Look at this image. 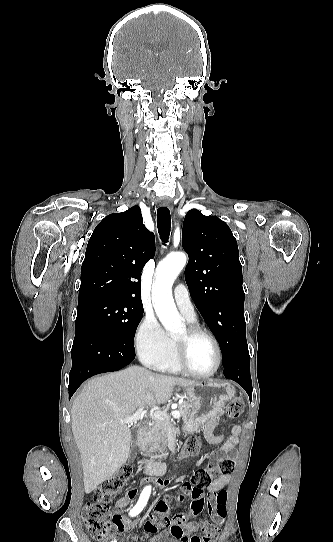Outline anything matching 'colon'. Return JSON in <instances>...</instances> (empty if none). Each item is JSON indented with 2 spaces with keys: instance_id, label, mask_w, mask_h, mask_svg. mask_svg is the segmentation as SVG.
<instances>
[{
  "instance_id": "obj_1",
  "label": "colon",
  "mask_w": 333,
  "mask_h": 542,
  "mask_svg": "<svg viewBox=\"0 0 333 542\" xmlns=\"http://www.w3.org/2000/svg\"><path fill=\"white\" fill-rule=\"evenodd\" d=\"M244 409V402L241 397H237L227 404L226 419L233 421L240 417ZM201 450V439L199 436L188 438L181 448L179 456L183 459L193 458L199 454ZM234 470V462L229 458H223L216 461L209 471L199 469L194 471L193 478L186 488L190 491L193 499L200 501L201 505H192L188 512L195 517L197 524H203L204 539L202 542H210V538H215L221 529L222 523L227 515V491L220 490L214 493L212 502L205 503L202 493L209 494L212 491L210 484L212 478L221 475H229ZM133 474V468L125 465L112 477L105 479L101 487L97 489L90 501L84 504L83 519L84 523L94 539L110 537L115 532L118 521V515L122 511L121 503L113 504L112 509L116 513L109 511V504L113 496L118 495L125 484L128 483ZM155 510L150 514L145 528L148 533L161 536L165 534H174L176 538L183 535L180 526L186 522L182 511H176L175 515L169 513L168 500H156L154 504ZM207 508L210 513V519H207L203 514ZM112 523L114 525H112ZM145 541L144 536L134 535L129 538V542Z\"/></svg>"
}]
</instances>
